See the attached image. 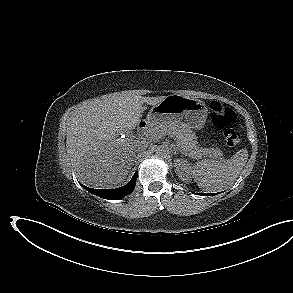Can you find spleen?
I'll return each instance as SVG.
<instances>
[{"instance_id": "1", "label": "spleen", "mask_w": 293, "mask_h": 293, "mask_svg": "<svg viewBox=\"0 0 293 293\" xmlns=\"http://www.w3.org/2000/svg\"><path fill=\"white\" fill-rule=\"evenodd\" d=\"M248 156V151L241 149L228 160H201L193 165L191 174L199 188L206 192H218L234 183Z\"/></svg>"}]
</instances>
